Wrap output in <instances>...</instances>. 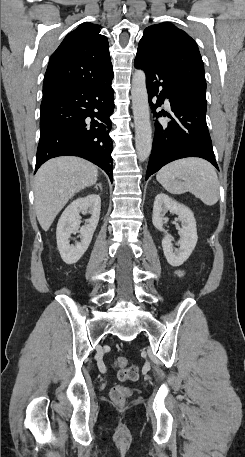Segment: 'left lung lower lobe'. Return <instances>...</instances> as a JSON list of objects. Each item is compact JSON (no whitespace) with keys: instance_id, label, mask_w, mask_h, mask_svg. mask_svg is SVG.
I'll use <instances>...</instances> for the list:
<instances>
[{"instance_id":"obj_1","label":"left lung lower lobe","mask_w":245,"mask_h":457,"mask_svg":"<svg viewBox=\"0 0 245 457\" xmlns=\"http://www.w3.org/2000/svg\"><path fill=\"white\" fill-rule=\"evenodd\" d=\"M134 65L146 74L149 104L155 110L167 98L172 114L154 112L156 117L171 118L168 124L155 122V136L150 155L146 180L164 165L181 158L200 157L217 169L212 141L206 124V103L188 97L185 84L175 77L161 62L136 55ZM157 96V101L152 102Z\"/></svg>"}]
</instances>
